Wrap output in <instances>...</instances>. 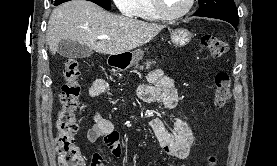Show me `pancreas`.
<instances>
[{
	"instance_id": "cf45deb5",
	"label": "pancreas",
	"mask_w": 277,
	"mask_h": 166,
	"mask_svg": "<svg viewBox=\"0 0 277 166\" xmlns=\"http://www.w3.org/2000/svg\"><path fill=\"white\" fill-rule=\"evenodd\" d=\"M152 63H155V62H146L145 64H146V69H149L150 68V64H152ZM140 68H144V66H140Z\"/></svg>"
}]
</instances>
